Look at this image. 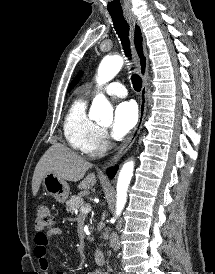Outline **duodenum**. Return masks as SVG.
Masks as SVG:
<instances>
[{
    "mask_svg": "<svg viewBox=\"0 0 215 274\" xmlns=\"http://www.w3.org/2000/svg\"><path fill=\"white\" fill-rule=\"evenodd\" d=\"M94 260L98 265H103L105 263V257H104V252L97 248L94 251Z\"/></svg>",
    "mask_w": 215,
    "mask_h": 274,
    "instance_id": "410a0bca",
    "label": "duodenum"
}]
</instances>
